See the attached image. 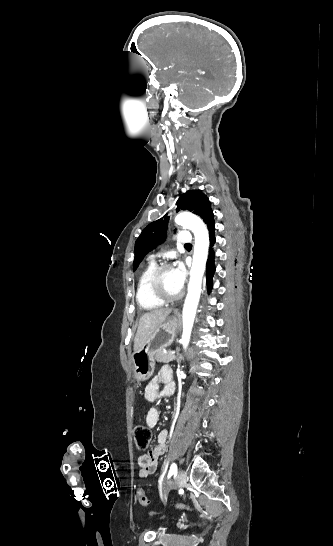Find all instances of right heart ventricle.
Instances as JSON below:
<instances>
[{"mask_svg": "<svg viewBox=\"0 0 333 546\" xmlns=\"http://www.w3.org/2000/svg\"><path fill=\"white\" fill-rule=\"evenodd\" d=\"M156 268V262L150 261L142 271L138 280L136 299L138 305L144 310L157 309L164 304L163 302L155 299L149 289V281Z\"/></svg>", "mask_w": 333, "mask_h": 546, "instance_id": "1", "label": "right heart ventricle"}]
</instances>
